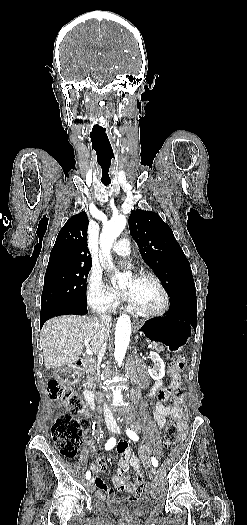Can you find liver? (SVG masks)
I'll return each mask as SVG.
<instances>
[{
  "label": "liver",
  "instance_id": "liver-1",
  "mask_svg": "<svg viewBox=\"0 0 247 525\" xmlns=\"http://www.w3.org/2000/svg\"><path fill=\"white\" fill-rule=\"evenodd\" d=\"M113 323L101 325L97 317L62 315L44 323L41 329V343L44 365L59 369L62 365L75 363L85 347L98 355L100 341H107Z\"/></svg>",
  "mask_w": 247,
  "mask_h": 525
}]
</instances>
